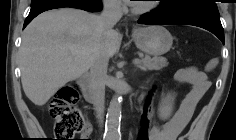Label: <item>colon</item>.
<instances>
[{
	"label": "colon",
	"instance_id": "obj_1",
	"mask_svg": "<svg viewBox=\"0 0 236 140\" xmlns=\"http://www.w3.org/2000/svg\"><path fill=\"white\" fill-rule=\"evenodd\" d=\"M152 89L144 93L139 109L138 134L135 140H149L150 117L153 110ZM79 91L74 85H66L58 90L50 102L49 114L54 121L56 140H73L83 130L84 116L77 107ZM179 140H185L180 137Z\"/></svg>",
	"mask_w": 236,
	"mask_h": 140
}]
</instances>
